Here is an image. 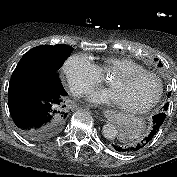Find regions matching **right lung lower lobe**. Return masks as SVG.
Instances as JSON below:
<instances>
[{
	"label": "right lung lower lobe",
	"mask_w": 177,
	"mask_h": 177,
	"mask_svg": "<svg viewBox=\"0 0 177 177\" xmlns=\"http://www.w3.org/2000/svg\"><path fill=\"white\" fill-rule=\"evenodd\" d=\"M66 91L47 80L10 79L8 105L19 131L27 138L43 140L60 132L68 116Z\"/></svg>",
	"instance_id": "98d812e1"
}]
</instances>
